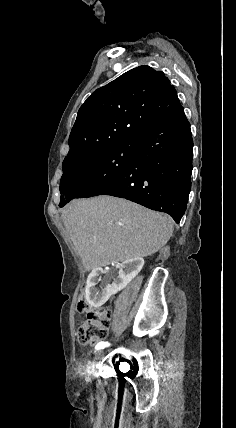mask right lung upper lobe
Returning a JSON list of instances; mask_svg holds the SVG:
<instances>
[{"mask_svg": "<svg viewBox=\"0 0 236 428\" xmlns=\"http://www.w3.org/2000/svg\"><path fill=\"white\" fill-rule=\"evenodd\" d=\"M180 107L177 92L163 72L145 65L129 70L95 90L80 107L62 167L136 139Z\"/></svg>", "mask_w": 236, "mask_h": 428, "instance_id": "right-lung-upper-lobe-1", "label": "right lung upper lobe"}]
</instances>
